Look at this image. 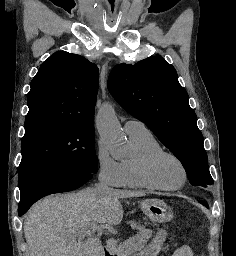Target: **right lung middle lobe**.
<instances>
[{
	"mask_svg": "<svg viewBox=\"0 0 236 256\" xmlns=\"http://www.w3.org/2000/svg\"><path fill=\"white\" fill-rule=\"evenodd\" d=\"M19 188L41 177L69 171L96 173L94 124L59 120L25 122Z\"/></svg>",
	"mask_w": 236,
	"mask_h": 256,
	"instance_id": "dd1d6c3e",
	"label": "right lung middle lobe"
}]
</instances>
